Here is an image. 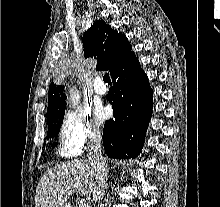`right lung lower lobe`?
<instances>
[{
    "mask_svg": "<svg viewBox=\"0 0 220 207\" xmlns=\"http://www.w3.org/2000/svg\"><path fill=\"white\" fill-rule=\"evenodd\" d=\"M114 118L105 122L103 146L110 158H135L141 152L152 115V96L148 78L135 54L123 58L111 74Z\"/></svg>",
    "mask_w": 220,
    "mask_h": 207,
    "instance_id": "98d812e1",
    "label": "right lung lower lobe"
}]
</instances>
